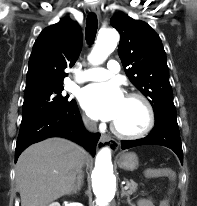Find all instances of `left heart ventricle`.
<instances>
[{
  "label": "left heart ventricle",
  "instance_id": "1",
  "mask_svg": "<svg viewBox=\"0 0 197 206\" xmlns=\"http://www.w3.org/2000/svg\"><path fill=\"white\" fill-rule=\"evenodd\" d=\"M114 124L122 131L137 132L146 124V112L140 101L125 98L121 113Z\"/></svg>",
  "mask_w": 197,
  "mask_h": 206
}]
</instances>
